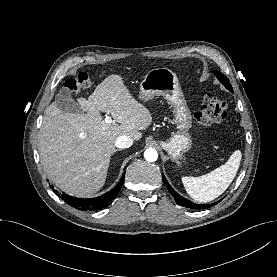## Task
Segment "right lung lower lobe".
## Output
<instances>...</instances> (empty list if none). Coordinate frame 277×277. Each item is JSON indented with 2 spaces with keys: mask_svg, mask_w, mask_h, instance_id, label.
I'll list each match as a JSON object with an SVG mask.
<instances>
[{
  "mask_svg": "<svg viewBox=\"0 0 277 277\" xmlns=\"http://www.w3.org/2000/svg\"><path fill=\"white\" fill-rule=\"evenodd\" d=\"M125 177V172L120 180V182L116 185L114 189H112L109 192H106L102 196H99L97 198H91V199H79L76 197H72L66 194H62L61 198L70 206L75 207L79 210L84 211H95L102 209L104 207H107L112 203V200L114 197L118 194L120 191L123 181ZM53 188V187H52ZM55 193L58 195V192L54 190Z\"/></svg>",
  "mask_w": 277,
  "mask_h": 277,
  "instance_id": "98d812e1",
  "label": "right lung lower lobe"
}]
</instances>
